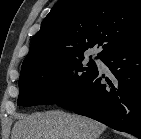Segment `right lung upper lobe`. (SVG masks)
I'll use <instances>...</instances> for the list:
<instances>
[{
  "mask_svg": "<svg viewBox=\"0 0 141 139\" xmlns=\"http://www.w3.org/2000/svg\"><path fill=\"white\" fill-rule=\"evenodd\" d=\"M141 40V0H63L34 35L22 70L83 57L95 44L98 57Z\"/></svg>",
  "mask_w": 141,
  "mask_h": 139,
  "instance_id": "right-lung-upper-lobe-1",
  "label": "right lung upper lobe"
}]
</instances>
